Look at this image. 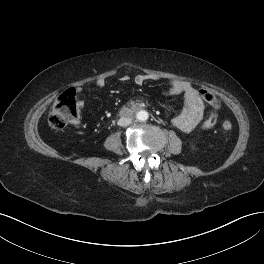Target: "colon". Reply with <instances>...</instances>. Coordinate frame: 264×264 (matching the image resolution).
<instances>
[{
    "label": "colon",
    "mask_w": 264,
    "mask_h": 264,
    "mask_svg": "<svg viewBox=\"0 0 264 264\" xmlns=\"http://www.w3.org/2000/svg\"><path fill=\"white\" fill-rule=\"evenodd\" d=\"M201 97L214 109L202 123L203 128H210L217 122V110L220 107V102L217 97L208 89H200ZM79 117V107L76 100L75 91L72 89L63 92L56 100L52 112L49 116V125L55 130H61L69 123L75 122ZM233 125L226 120L222 123V129L225 132H230Z\"/></svg>",
    "instance_id": "5ec220e1"
}]
</instances>
